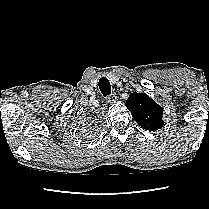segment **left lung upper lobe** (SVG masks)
Listing matches in <instances>:
<instances>
[{"instance_id":"5c2ea615","label":"left lung upper lobe","mask_w":209,"mask_h":209,"mask_svg":"<svg viewBox=\"0 0 209 209\" xmlns=\"http://www.w3.org/2000/svg\"><path fill=\"white\" fill-rule=\"evenodd\" d=\"M126 107L143 129L156 131L163 127V108L147 94L131 93L126 101Z\"/></svg>"}]
</instances>
